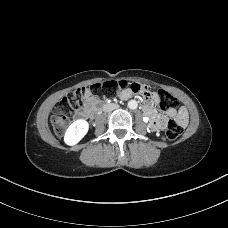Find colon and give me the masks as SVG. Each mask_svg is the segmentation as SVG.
I'll return each mask as SVG.
<instances>
[{"label": "colon", "mask_w": 228, "mask_h": 228, "mask_svg": "<svg viewBox=\"0 0 228 228\" xmlns=\"http://www.w3.org/2000/svg\"><path fill=\"white\" fill-rule=\"evenodd\" d=\"M129 84L124 79L108 80L102 83L93 84L91 87H81L76 89L71 94L64 97L61 102L57 105L55 113L52 117L54 131L57 135H62L65 131L66 126L69 123L70 114L77 108L80 107L85 97L89 93L99 95L104 89H115V88H125ZM130 89L145 98L150 96V92L147 87L132 83ZM159 97V107L163 111L175 110L179 106V100L168 93L165 90L158 91ZM183 133V127L175 120H170L167 125L166 134L167 136L174 140L177 139Z\"/></svg>", "instance_id": "colon-1"}]
</instances>
